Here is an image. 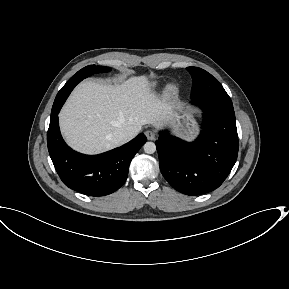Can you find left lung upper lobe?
Wrapping results in <instances>:
<instances>
[{"label":"left lung upper lobe","mask_w":289,"mask_h":289,"mask_svg":"<svg viewBox=\"0 0 289 289\" xmlns=\"http://www.w3.org/2000/svg\"><path fill=\"white\" fill-rule=\"evenodd\" d=\"M192 76L191 98L212 97L231 101L222 85L207 71L198 67H187Z\"/></svg>","instance_id":"5c2ea615"}]
</instances>
